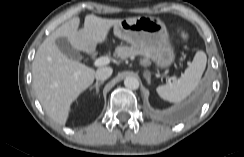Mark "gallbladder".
I'll return each mask as SVG.
<instances>
[{"label":"gallbladder","mask_w":244,"mask_h":157,"mask_svg":"<svg viewBox=\"0 0 244 157\" xmlns=\"http://www.w3.org/2000/svg\"><path fill=\"white\" fill-rule=\"evenodd\" d=\"M56 45L61 50V52L68 58L76 61H80L82 59L80 53L73 48V46L70 44L67 38H57Z\"/></svg>","instance_id":"1"}]
</instances>
